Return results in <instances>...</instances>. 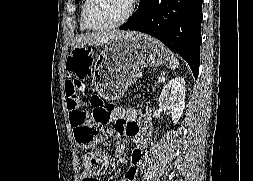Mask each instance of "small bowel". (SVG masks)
Returning <instances> with one entry per match:
<instances>
[{"mask_svg":"<svg viewBox=\"0 0 253 181\" xmlns=\"http://www.w3.org/2000/svg\"><path fill=\"white\" fill-rule=\"evenodd\" d=\"M90 70L91 58L89 56V53H80L79 75H77L75 80L77 89L87 91L85 81L89 75ZM135 118V110L127 107H120L116 109L113 115L114 124L110 132L111 136L114 139H118L124 135L132 136L137 145L131 156V165L126 171L124 177L119 181H135L139 168L143 161L142 148H145V143L140 136L139 126L135 122ZM110 165H113V163L111 162ZM81 179L82 181H96L95 177L92 175L89 169H83Z\"/></svg>","mask_w":253,"mask_h":181,"instance_id":"small-bowel-1","label":"small bowel"}]
</instances>
